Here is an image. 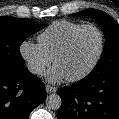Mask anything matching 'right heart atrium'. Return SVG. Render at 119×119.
Segmentation results:
<instances>
[{
	"label": "right heart atrium",
	"mask_w": 119,
	"mask_h": 119,
	"mask_svg": "<svg viewBox=\"0 0 119 119\" xmlns=\"http://www.w3.org/2000/svg\"><path fill=\"white\" fill-rule=\"evenodd\" d=\"M20 54L25 60L29 71L41 75L52 63V58L37 43L23 41L20 45Z\"/></svg>",
	"instance_id": "right-heart-atrium-1"
}]
</instances>
